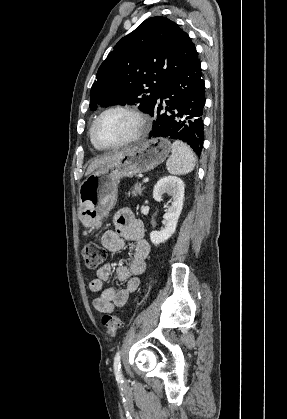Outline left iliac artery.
I'll list each match as a JSON object with an SVG mask.
<instances>
[{
	"mask_svg": "<svg viewBox=\"0 0 287 419\" xmlns=\"http://www.w3.org/2000/svg\"><path fill=\"white\" fill-rule=\"evenodd\" d=\"M120 357H121V352L118 351L114 357V373L118 381L123 380V376L121 373Z\"/></svg>",
	"mask_w": 287,
	"mask_h": 419,
	"instance_id": "1",
	"label": "left iliac artery"
}]
</instances>
